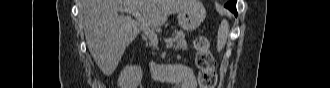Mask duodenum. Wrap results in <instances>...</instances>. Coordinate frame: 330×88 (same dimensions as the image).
I'll return each instance as SVG.
<instances>
[{"instance_id": "410a0bca", "label": "duodenum", "mask_w": 330, "mask_h": 88, "mask_svg": "<svg viewBox=\"0 0 330 88\" xmlns=\"http://www.w3.org/2000/svg\"><path fill=\"white\" fill-rule=\"evenodd\" d=\"M169 65L149 64L148 69L153 78L159 81H171L168 75Z\"/></svg>"}]
</instances>
